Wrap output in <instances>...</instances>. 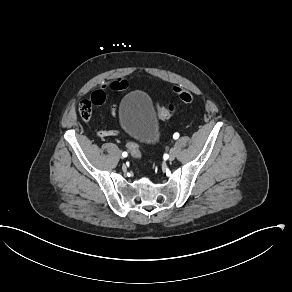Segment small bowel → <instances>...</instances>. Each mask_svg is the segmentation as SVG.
Wrapping results in <instances>:
<instances>
[{
	"label": "small bowel",
	"mask_w": 292,
	"mask_h": 292,
	"mask_svg": "<svg viewBox=\"0 0 292 292\" xmlns=\"http://www.w3.org/2000/svg\"><path fill=\"white\" fill-rule=\"evenodd\" d=\"M127 81L124 80V79H116V80H113L109 83H104L103 84V87H106V90L108 92H111V91H120V90H124L127 88ZM118 110H119V106L117 104H114L112 106V109H111V115L113 117H116L118 115ZM120 135V132L117 128H114L113 130L112 129H105V130H101L97 133V136L99 138H102L104 136H108L109 138H117L118 136Z\"/></svg>",
	"instance_id": "small-bowel-1"
}]
</instances>
